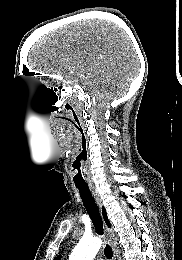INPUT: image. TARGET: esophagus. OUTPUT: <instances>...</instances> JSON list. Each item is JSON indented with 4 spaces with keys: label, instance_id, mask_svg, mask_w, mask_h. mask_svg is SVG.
Returning a JSON list of instances; mask_svg holds the SVG:
<instances>
[{
    "label": "esophagus",
    "instance_id": "esophagus-1",
    "mask_svg": "<svg viewBox=\"0 0 182 260\" xmlns=\"http://www.w3.org/2000/svg\"><path fill=\"white\" fill-rule=\"evenodd\" d=\"M92 193L95 197L97 204L99 205V207H101V200H100L98 192L95 189H92ZM105 231H106L107 238L114 251V260H116L118 258V253L116 250L117 237H116L114 231L112 229L108 228L106 225H105Z\"/></svg>",
    "mask_w": 182,
    "mask_h": 260
}]
</instances>
